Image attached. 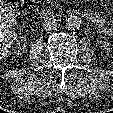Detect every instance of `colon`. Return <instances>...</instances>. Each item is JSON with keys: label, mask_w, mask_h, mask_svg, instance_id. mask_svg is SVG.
<instances>
[{"label": "colon", "mask_w": 113, "mask_h": 113, "mask_svg": "<svg viewBox=\"0 0 113 113\" xmlns=\"http://www.w3.org/2000/svg\"><path fill=\"white\" fill-rule=\"evenodd\" d=\"M15 1H29V0H0V57L4 56L10 50L15 38L12 26L5 20L2 11L6 8H14ZM2 14V15H1Z\"/></svg>", "instance_id": "colon-1"}]
</instances>
